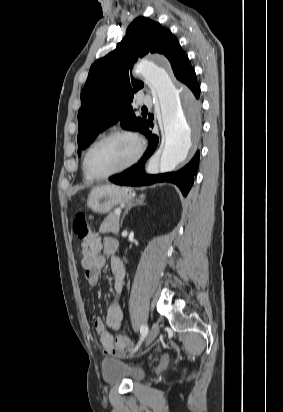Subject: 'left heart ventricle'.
<instances>
[{"mask_svg":"<svg viewBox=\"0 0 283 412\" xmlns=\"http://www.w3.org/2000/svg\"><path fill=\"white\" fill-rule=\"evenodd\" d=\"M135 152L136 145L131 138L115 136L93 149L89 157V167L95 174H106L128 163Z\"/></svg>","mask_w":283,"mask_h":412,"instance_id":"obj_1","label":"left heart ventricle"}]
</instances>
